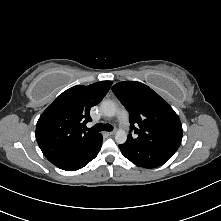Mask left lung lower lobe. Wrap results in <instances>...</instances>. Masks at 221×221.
I'll return each mask as SVG.
<instances>
[{
	"label": "left lung lower lobe",
	"mask_w": 221,
	"mask_h": 221,
	"mask_svg": "<svg viewBox=\"0 0 221 221\" xmlns=\"http://www.w3.org/2000/svg\"><path fill=\"white\" fill-rule=\"evenodd\" d=\"M119 148L123 156L135 165L143 168H155L161 166L175 153L164 149L139 146L129 141L119 145Z\"/></svg>",
	"instance_id": "left-lung-lower-lobe-1"
}]
</instances>
